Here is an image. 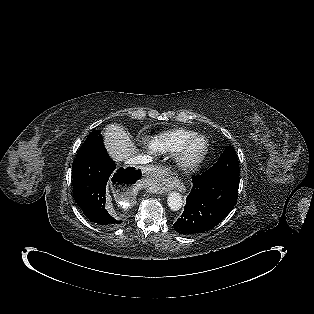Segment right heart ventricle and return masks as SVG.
<instances>
[{
	"label": "right heart ventricle",
	"instance_id": "right-heart-ventricle-1",
	"mask_svg": "<svg viewBox=\"0 0 314 314\" xmlns=\"http://www.w3.org/2000/svg\"><path fill=\"white\" fill-rule=\"evenodd\" d=\"M196 135V132L186 129L168 130L153 136L149 141V147L155 153H176L190 138Z\"/></svg>",
	"mask_w": 314,
	"mask_h": 314
}]
</instances>
